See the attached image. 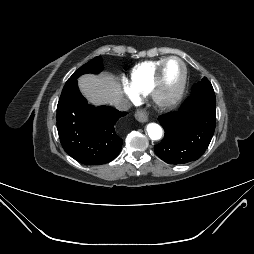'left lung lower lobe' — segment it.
<instances>
[{"instance_id":"left-lung-lower-lobe-1","label":"left lung lower lobe","mask_w":254,"mask_h":254,"mask_svg":"<svg viewBox=\"0 0 254 254\" xmlns=\"http://www.w3.org/2000/svg\"><path fill=\"white\" fill-rule=\"evenodd\" d=\"M165 131L154 146L157 156L169 164H184L199 159L213 137L216 125V99L191 95L177 112L159 116Z\"/></svg>"}]
</instances>
